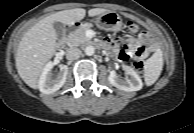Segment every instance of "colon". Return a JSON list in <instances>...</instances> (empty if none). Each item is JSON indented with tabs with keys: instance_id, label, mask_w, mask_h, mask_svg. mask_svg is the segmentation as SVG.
<instances>
[{
	"instance_id": "5ec220e1",
	"label": "colon",
	"mask_w": 194,
	"mask_h": 133,
	"mask_svg": "<svg viewBox=\"0 0 194 133\" xmlns=\"http://www.w3.org/2000/svg\"><path fill=\"white\" fill-rule=\"evenodd\" d=\"M128 26H129L130 30L133 31V32H136L139 29L138 25L136 23L132 22V21L128 22ZM134 68L136 69V71L138 73L143 72V62H142L139 55H136L134 57Z\"/></svg>"
}]
</instances>
